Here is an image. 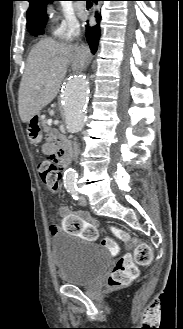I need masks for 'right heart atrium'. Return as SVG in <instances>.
<instances>
[{
  "label": "right heart atrium",
  "mask_w": 183,
  "mask_h": 329,
  "mask_svg": "<svg viewBox=\"0 0 183 329\" xmlns=\"http://www.w3.org/2000/svg\"><path fill=\"white\" fill-rule=\"evenodd\" d=\"M78 34H79V26L75 21H70L62 24L54 32L56 38L63 40H70L76 37Z\"/></svg>",
  "instance_id": "1"
}]
</instances>
